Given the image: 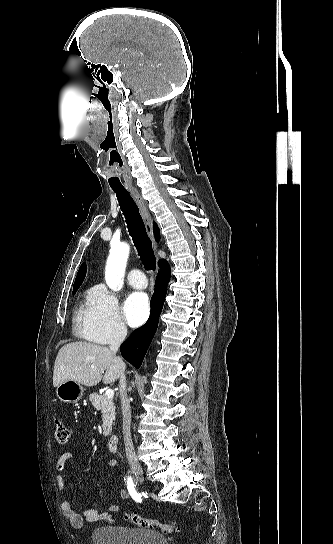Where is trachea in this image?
<instances>
[{
  "instance_id": "obj_1",
  "label": "trachea",
  "mask_w": 333,
  "mask_h": 544,
  "mask_svg": "<svg viewBox=\"0 0 333 544\" xmlns=\"http://www.w3.org/2000/svg\"><path fill=\"white\" fill-rule=\"evenodd\" d=\"M119 206L125 216L128 231L132 237L139 256L146 269L153 271L156 268V259L152 243L147 236L146 229L139 209L127 190H116Z\"/></svg>"
}]
</instances>
